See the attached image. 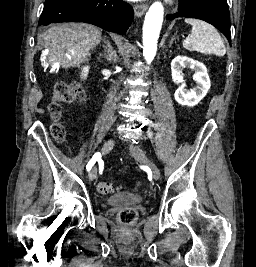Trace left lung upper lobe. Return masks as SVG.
<instances>
[{
  "mask_svg": "<svg viewBox=\"0 0 256 267\" xmlns=\"http://www.w3.org/2000/svg\"><path fill=\"white\" fill-rule=\"evenodd\" d=\"M191 17L204 20L219 29L231 45L230 14L226 0H180L179 12L167 19Z\"/></svg>",
  "mask_w": 256,
  "mask_h": 267,
  "instance_id": "left-lung-upper-lobe-1",
  "label": "left lung upper lobe"
}]
</instances>
